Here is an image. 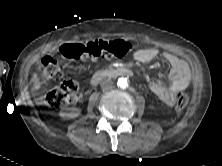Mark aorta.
Segmentation results:
<instances>
[{"mask_svg":"<svg viewBox=\"0 0 222 166\" xmlns=\"http://www.w3.org/2000/svg\"><path fill=\"white\" fill-rule=\"evenodd\" d=\"M118 86L121 87V88H126L128 87V81L126 78H119L118 79V82H117Z\"/></svg>","mask_w":222,"mask_h":166,"instance_id":"obj_1","label":"aorta"}]
</instances>
